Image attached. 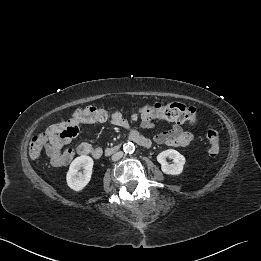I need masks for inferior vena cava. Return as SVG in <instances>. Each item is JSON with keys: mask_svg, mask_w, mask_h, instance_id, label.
<instances>
[{"mask_svg": "<svg viewBox=\"0 0 261 261\" xmlns=\"http://www.w3.org/2000/svg\"><path fill=\"white\" fill-rule=\"evenodd\" d=\"M123 156V152L119 151L113 154L112 156V161H118L119 159H121Z\"/></svg>", "mask_w": 261, "mask_h": 261, "instance_id": "inferior-vena-cava-1", "label": "inferior vena cava"}]
</instances>
